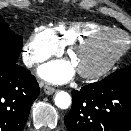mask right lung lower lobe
Listing matches in <instances>:
<instances>
[{
	"label": "right lung lower lobe",
	"mask_w": 131,
	"mask_h": 131,
	"mask_svg": "<svg viewBox=\"0 0 131 131\" xmlns=\"http://www.w3.org/2000/svg\"><path fill=\"white\" fill-rule=\"evenodd\" d=\"M40 88L29 70L0 63V131H22Z\"/></svg>",
	"instance_id": "98d812e1"
}]
</instances>
